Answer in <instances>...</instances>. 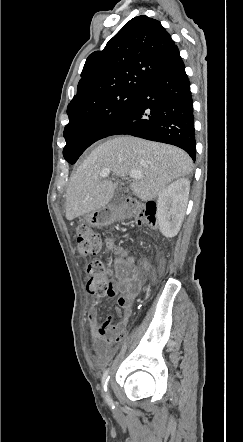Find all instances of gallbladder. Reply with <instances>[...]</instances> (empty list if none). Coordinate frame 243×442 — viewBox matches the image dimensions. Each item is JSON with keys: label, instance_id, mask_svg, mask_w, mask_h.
<instances>
[{"label": "gallbladder", "instance_id": "1", "mask_svg": "<svg viewBox=\"0 0 243 442\" xmlns=\"http://www.w3.org/2000/svg\"><path fill=\"white\" fill-rule=\"evenodd\" d=\"M124 191L128 192V191H129V189H128V188H124Z\"/></svg>", "mask_w": 243, "mask_h": 442}]
</instances>
